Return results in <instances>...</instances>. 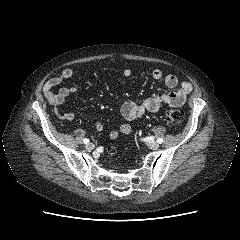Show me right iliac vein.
Returning a JSON list of instances; mask_svg holds the SVG:
<instances>
[{
    "instance_id": "obj_1",
    "label": "right iliac vein",
    "mask_w": 240,
    "mask_h": 240,
    "mask_svg": "<svg viewBox=\"0 0 240 240\" xmlns=\"http://www.w3.org/2000/svg\"><path fill=\"white\" fill-rule=\"evenodd\" d=\"M86 149H88V150H92V149H94V144H92V143H88V144H86Z\"/></svg>"
}]
</instances>
